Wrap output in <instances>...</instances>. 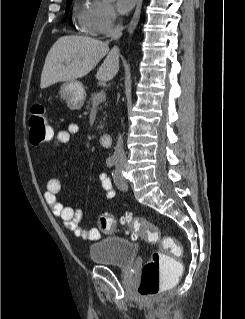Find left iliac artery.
<instances>
[{
  "label": "left iliac artery",
  "instance_id": "left-iliac-artery-1",
  "mask_svg": "<svg viewBox=\"0 0 245 319\" xmlns=\"http://www.w3.org/2000/svg\"><path fill=\"white\" fill-rule=\"evenodd\" d=\"M112 176H113L114 181L116 182L118 180V173L116 170L112 172Z\"/></svg>",
  "mask_w": 245,
  "mask_h": 319
}]
</instances>
